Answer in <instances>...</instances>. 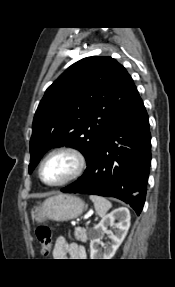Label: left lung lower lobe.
Returning <instances> with one entry per match:
<instances>
[{"instance_id": "0a47b994", "label": "left lung lower lobe", "mask_w": 175, "mask_h": 287, "mask_svg": "<svg viewBox=\"0 0 175 287\" xmlns=\"http://www.w3.org/2000/svg\"><path fill=\"white\" fill-rule=\"evenodd\" d=\"M151 164V135L142 99L107 132L89 170L61 189L118 198L139 215L142 211Z\"/></svg>"}]
</instances>
